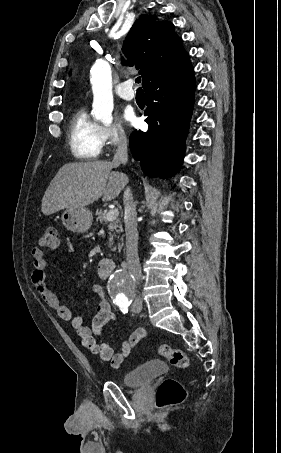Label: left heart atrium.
<instances>
[{
  "label": "left heart atrium",
  "instance_id": "obj_1",
  "mask_svg": "<svg viewBox=\"0 0 281 453\" xmlns=\"http://www.w3.org/2000/svg\"><path fill=\"white\" fill-rule=\"evenodd\" d=\"M121 119L127 124L133 125L136 122V115L132 107L126 106L121 111Z\"/></svg>",
  "mask_w": 281,
  "mask_h": 453
}]
</instances>
